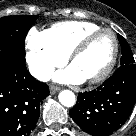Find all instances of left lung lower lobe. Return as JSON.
<instances>
[{
    "label": "left lung lower lobe",
    "instance_id": "0a47b994",
    "mask_svg": "<svg viewBox=\"0 0 136 136\" xmlns=\"http://www.w3.org/2000/svg\"><path fill=\"white\" fill-rule=\"evenodd\" d=\"M135 99L136 64L123 65L96 90L79 93L70 115L83 131L106 136L126 121Z\"/></svg>",
    "mask_w": 136,
    "mask_h": 136
}]
</instances>
